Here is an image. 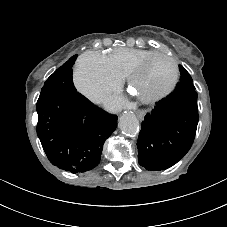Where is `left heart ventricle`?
Listing matches in <instances>:
<instances>
[{
	"mask_svg": "<svg viewBox=\"0 0 227 227\" xmlns=\"http://www.w3.org/2000/svg\"><path fill=\"white\" fill-rule=\"evenodd\" d=\"M173 76V65L164 57L151 61L138 77L134 92L139 96H146L164 89Z\"/></svg>",
	"mask_w": 227,
	"mask_h": 227,
	"instance_id": "1",
	"label": "left heart ventricle"
}]
</instances>
